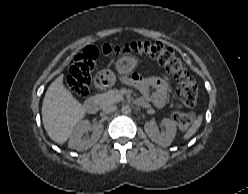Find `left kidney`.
Segmentation results:
<instances>
[{"label":"left kidney","mask_w":248,"mask_h":194,"mask_svg":"<svg viewBox=\"0 0 248 194\" xmlns=\"http://www.w3.org/2000/svg\"><path fill=\"white\" fill-rule=\"evenodd\" d=\"M162 125L165 127V133H160L158 127L155 125L147 126L145 132L153 142L162 147H167L175 138L177 130L176 124L172 120L164 118L162 120Z\"/></svg>","instance_id":"1"}]
</instances>
